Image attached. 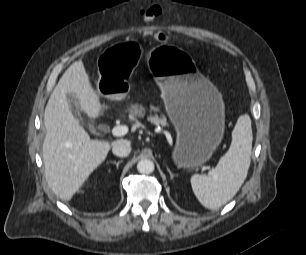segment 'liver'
Wrapping results in <instances>:
<instances>
[{"instance_id": "6515ba94", "label": "liver", "mask_w": 306, "mask_h": 255, "mask_svg": "<svg viewBox=\"0 0 306 255\" xmlns=\"http://www.w3.org/2000/svg\"><path fill=\"white\" fill-rule=\"evenodd\" d=\"M68 94L78 100L80 109L88 117L100 115L103 108L100 95L93 89L81 60L62 75L44 112L45 176L52 191L64 201L70 200L81 188L111 148L106 141L90 139L70 110Z\"/></svg>"}]
</instances>
